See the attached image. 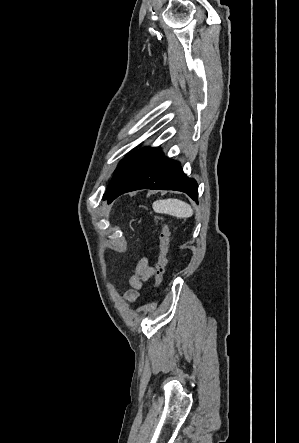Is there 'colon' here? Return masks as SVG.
<instances>
[{"instance_id": "obj_1", "label": "colon", "mask_w": 299, "mask_h": 443, "mask_svg": "<svg viewBox=\"0 0 299 443\" xmlns=\"http://www.w3.org/2000/svg\"><path fill=\"white\" fill-rule=\"evenodd\" d=\"M170 230L167 224L161 223L159 230V255L155 267L156 286L159 287L164 278V273L168 264Z\"/></svg>"}]
</instances>
